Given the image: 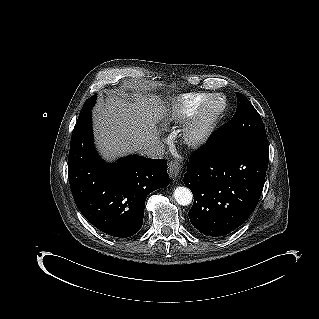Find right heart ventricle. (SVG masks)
<instances>
[{"label": "right heart ventricle", "mask_w": 319, "mask_h": 319, "mask_svg": "<svg viewBox=\"0 0 319 319\" xmlns=\"http://www.w3.org/2000/svg\"><path fill=\"white\" fill-rule=\"evenodd\" d=\"M208 96L209 94L202 92H189L178 95L171 103L173 116L180 122L187 120Z\"/></svg>", "instance_id": "1"}]
</instances>
